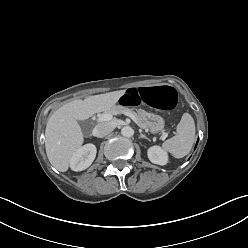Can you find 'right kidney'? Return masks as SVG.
<instances>
[{
  "instance_id": "right-kidney-1",
  "label": "right kidney",
  "mask_w": 248,
  "mask_h": 248,
  "mask_svg": "<svg viewBox=\"0 0 248 248\" xmlns=\"http://www.w3.org/2000/svg\"><path fill=\"white\" fill-rule=\"evenodd\" d=\"M97 149L93 144H86L80 147L70 159V168L73 171L87 169L96 157Z\"/></svg>"
}]
</instances>
